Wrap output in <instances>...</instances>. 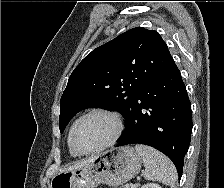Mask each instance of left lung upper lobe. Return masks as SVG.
Here are the masks:
<instances>
[{
  "label": "left lung upper lobe",
  "instance_id": "obj_1",
  "mask_svg": "<svg viewBox=\"0 0 224 188\" xmlns=\"http://www.w3.org/2000/svg\"><path fill=\"white\" fill-rule=\"evenodd\" d=\"M173 61L160 34L142 27L96 48L69 77L60 100V131L76 113L97 106L120 112L127 124L142 87Z\"/></svg>",
  "mask_w": 224,
  "mask_h": 188
}]
</instances>
